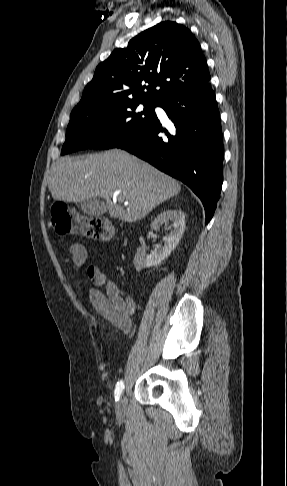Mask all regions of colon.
Wrapping results in <instances>:
<instances>
[{"label": "colon", "instance_id": "5ec220e1", "mask_svg": "<svg viewBox=\"0 0 287 486\" xmlns=\"http://www.w3.org/2000/svg\"><path fill=\"white\" fill-rule=\"evenodd\" d=\"M51 222L54 230L60 235L75 234L102 241L110 240L114 235L108 219L79 215L60 202L54 203L51 207ZM87 277L96 283L101 281V275L93 267L88 268Z\"/></svg>", "mask_w": 287, "mask_h": 486}]
</instances>
